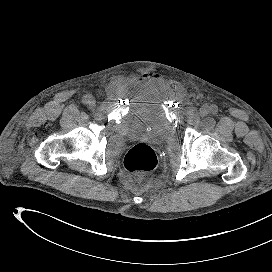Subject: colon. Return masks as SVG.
Listing matches in <instances>:
<instances>
[{
  "mask_svg": "<svg viewBox=\"0 0 272 272\" xmlns=\"http://www.w3.org/2000/svg\"><path fill=\"white\" fill-rule=\"evenodd\" d=\"M157 157L153 149L146 144L132 147L124 158V166L129 172L139 173L153 170Z\"/></svg>",
  "mask_w": 272,
  "mask_h": 272,
  "instance_id": "colon-1",
  "label": "colon"
}]
</instances>
